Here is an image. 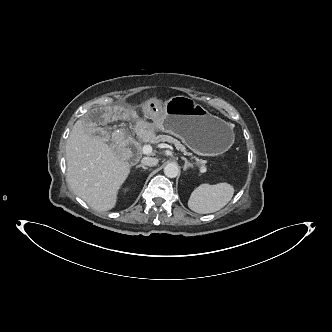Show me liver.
Wrapping results in <instances>:
<instances>
[{
  "mask_svg": "<svg viewBox=\"0 0 332 332\" xmlns=\"http://www.w3.org/2000/svg\"><path fill=\"white\" fill-rule=\"evenodd\" d=\"M77 121L66 144L67 182L72 191L97 211L115 207L130 165L108 144L91 136Z\"/></svg>",
  "mask_w": 332,
  "mask_h": 332,
  "instance_id": "1",
  "label": "liver"
}]
</instances>
